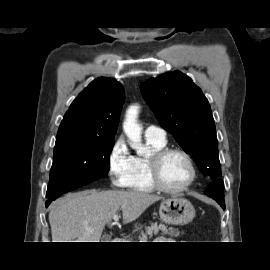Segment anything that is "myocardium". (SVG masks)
I'll list each match as a JSON object with an SVG mask.
<instances>
[{
	"label": "myocardium",
	"mask_w": 270,
	"mask_h": 270,
	"mask_svg": "<svg viewBox=\"0 0 270 270\" xmlns=\"http://www.w3.org/2000/svg\"><path fill=\"white\" fill-rule=\"evenodd\" d=\"M171 153H178L182 155L186 159L191 172L189 180L184 185L177 188H171L166 186L160 176V164L162 160ZM147 168L149 179L153 187L164 193H182L189 189L194 184L197 178V169L192 156L186 150L180 147H164L152 152L148 158Z\"/></svg>",
	"instance_id": "myocardium-1"
}]
</instances>
